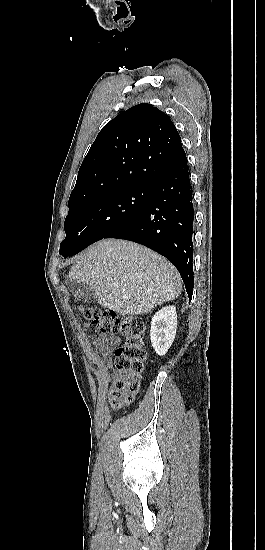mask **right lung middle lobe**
I'll list each match as a JSON object with an SVG mask.
<instances>
[{
	"mask_svg": "<svg viewBox=\"0 0 265 550\" xmlns=\"http://www.w3.org/2000/svg\"><path fill=\"white\" fill-rule=\"evenodd\" d=\"M152 186L134 187L73 202L65 219L59 254L67 258L135 219L146 207Z\"/></svg>",
	"mask_w": 265,
	"mask_h": 550,
	"instance_id": "right-lung-middle-lobe-1",
	"label": "right lung middle lobe"
}]
</instances>
